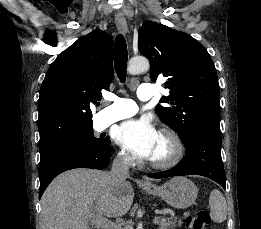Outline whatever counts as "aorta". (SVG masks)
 <instances>
[{
	"mask_svg": "<svg viewBox=\"0 0 261 229\" xmlns=\"http://www.w3.org/2000/svg\"><path fill=\"white\" fill-rule=\"evenodd\" d=\"M149 66V60L145 56H132L129 60L127 70L130 74H139V72L149 70Z\"/></svg>",
	"mask_w": 261,
	"mask_h": 229,
	"instance_id": "aorta-1",
	"label": "aorta"
}]
</instances>
